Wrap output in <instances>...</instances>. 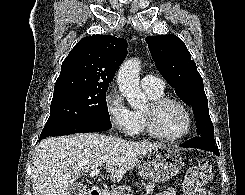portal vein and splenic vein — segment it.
Returning <instances> with one entry per match:
<instances>
[{
	"label": "portal vein and splenic vein",
	"mask_w": 245,
	"mask_h": 195,
	"mask_svg": "<svg viewBox=\"0 0 245 195\" xmlns=\"http://www.w3.org/2000/svg\"><path fill=\"white\" fill-rule=\"evenodd\" d=\"M99 172H100V169H98V168H96V169H94V170H92L91 171V173L89 174V176L90 177H94V176H96L97 174H99ZM119 195V194H118ZM124 195H133V194H124Z\"/></svg>",
	"instance_id": "1"
}]
</instances>
